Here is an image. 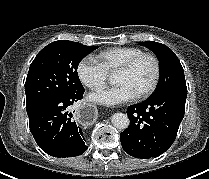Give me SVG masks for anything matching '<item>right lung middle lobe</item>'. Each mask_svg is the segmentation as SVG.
Here are the masks:
<instances>
[{
	"instance_id": "1",
	"label": "right lung middle lobe",
	"mask_w": 209,
	"mask_h": 179,
	"mask_svg": "<svg viewBox=\"0 0 209 179\" xmlns=\"http://www.w3.org/2000/svg\"><path fill=\"white\" fill-rule=\"evenodd\" d=\"M97 48L67 40L55 41L44 47L31 63L26 78L27 114L54 98L83 92L77 67L86 55Z\"/></svg>"
}]
</instances>
